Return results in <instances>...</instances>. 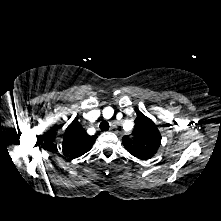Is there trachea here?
Returning <instances> with one entry per match:
<instances>
[{"label": "trachea", "mask_w": 221, "mask_h": 221, "mask_svg": "<svg viewBox=\"0 0 221 221\" xmlns=\"http://www.w3.org/2000/svg\"><path fill=\"white\" fill-rule=\"evenodd\" d=\"M100 129L102 131H108L109 130V123L107 121H102L99 125Z\"/></svg>", "instance_id": "trachea-1"}]
</instances>
